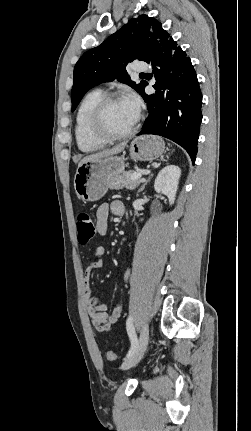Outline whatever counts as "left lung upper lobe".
<instances>
[{
  "label": "left lung upper lobe",
  "instance_id": "5c2ea615",
  "mask_svg": "<svg viewBox=\"0 0 251 431\" xmlns=\"http://www.w3.org/2000/svg\"><path fill=\"white\" fill-rule=\"evenodd\" d=\"M169 34L162 24L147 15L129 20L119 31L109 36L101 45L85 52L74 68L71 91L72 111L92 87L117 79L127 83L139 94L145 81L139 84L129 79L126 65L135 59L148 62L153 47Z\"/></svg>",
  "mask_w": 251,
  "mask_h": 431
}]
</instances>
